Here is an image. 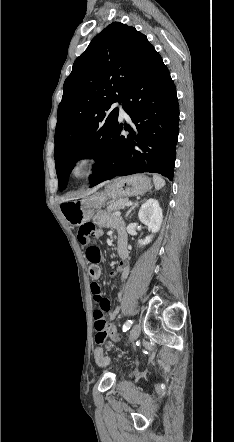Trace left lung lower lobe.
<instances>
[{
  "mask_svg": "<svg viewBox=\"0 0 234 442\" xmlns=\"http://www.w3.org/2000/svg\"><path fill=\"white\" fill-rule=\"evenodd\" d=\"M122 106L133 125H117L108 154L90 187L116 176L155 172L173 179L179 108L174 82L156 51L126 90Z\"/></svg>",
  "mask_w": 234,
  "mask_h": 442,
  "instance_id": "left-lung-lower-lobe-1",
  "label": "left lung lower lobe"
}]
</instances>
